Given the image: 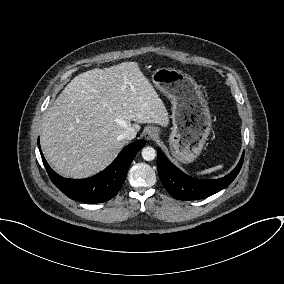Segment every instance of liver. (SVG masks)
I'll use <instances>...</instances> for the list:
<instances>
[{
    "label": "liver",
    "mask_w": 284,
    "mask_h": 284,
    "mask_svg": "<svg viewBox=\"0 0 284 284\" xmlns=\"http://www.w3.org/2000/svg\"><path fill=\"white\" fill-rule=\"evenodd\" d=\"M168 122L163 101L139 65L123 62L71 80L43 118L41 147L60 175L82 179L115 159L127 143L121 136L126 128Z\"/></svg>",
    "instance_id": "liver-1"
}]
</instances>
